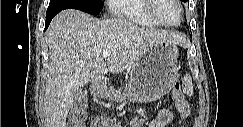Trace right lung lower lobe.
Returning a JSON list of instances; mask_svg holds the SVG:
<instances>
[{
	"instance_id": "1",
	"label": "right lung lower lobe",
	"mask_w": 243,
	"mask_h": 127,
	"mask_svg": "<svg viewBox=\"0 0 243 127\" xmlns=\"http://www.w3.org/2000/svg\"><path fill=\"white\" fill-rule=\"evenodd\" d=\"M56 14H46V24H45V30L47 29V27L49 26L52 18L55 16Z\"/></svg>"
}]
</instances>
